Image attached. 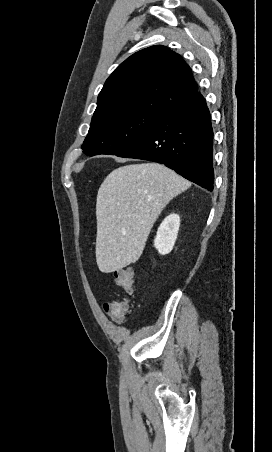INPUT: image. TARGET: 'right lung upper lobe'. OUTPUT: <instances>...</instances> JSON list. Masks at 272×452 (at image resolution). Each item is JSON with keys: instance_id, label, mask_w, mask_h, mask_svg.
Wrapping results in <instances>:
<instances>
[{"instance_id": "right-lung-upper-lobe-1", "label": "right lung upper lobe", "mask_w": 272, "mask_h": 452, "mask_svg": "<svg viewBox=\"0 0 272 452\" xmlns=\"http://www.w3.org/2000/svg\"><path fill=\"white\" fill-rule=\"evenodd\" d=\"M198 86L181 56L155 45L121 63L106 80L92 119L128 110L168 113L183 105Z\"/></svg>"}]
</instances>
